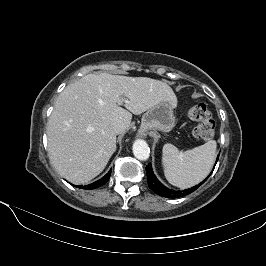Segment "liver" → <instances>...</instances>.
<instances>
[{"label": "liver", "instance_id": "liver-1", "mask_svg": "<svg viewBox=\"0 0 266 266\" xmlns=\"http://www.w3.org/2000/svg\"><path fill=\"white\" fill-rule=\"evenodd\" d=\"M163 101L177 105L172 88L156 79L108 73L83 76L66 86L54 104L47 125L51 164L73 184L89 182L116 151L111 123L120 119L127 129L132 113L142 114Z\"/></svg>", "mask_w": 266, "mask_h": 266}]
</instances>
